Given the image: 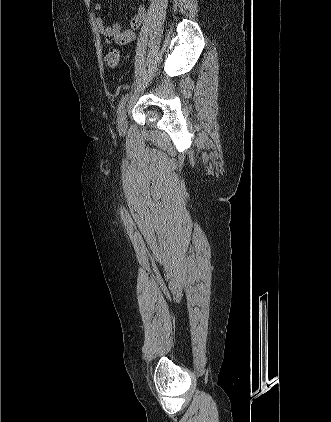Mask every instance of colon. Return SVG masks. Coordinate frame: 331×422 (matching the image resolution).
I'll return each instance as SVG.
<instances>
[{"label": "colon", "mask_w": 331, "mask_h": 422, "mask_svg": "<svg viewBox=\"0 0 331 422\" xmlns=\"http://www.w3.org/2000/svg\"><path fill=\"white\" fill-rule=\"evenodd\" d=\"M119 60L120 58L118 50L115 48L110 49L106 55V62L108 67L113 70L117 69L119 66Z\"/></svg>", "instance_id": "1"}]
</instances>
